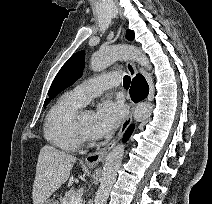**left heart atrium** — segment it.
Wrapping results in <instances>:
<instances>
[{
  "mask_svg": "<svg viewBox=\"0 0 212 204\" xmlns=\"http://www.w3.org/2000/svg\"><path fill=\"white\" fill-rule=\"evenodd\" d=\"M124 114L123 106L112 100L98 104L93 118L91 134L93 138H103L115 131Z\"/></svg>",
  "mask_w": 212,
  "mask_h": 204,
  "instance_id": "left-heart-atrium-1",
  "label": "left heart atrium"
}]
</instances>
